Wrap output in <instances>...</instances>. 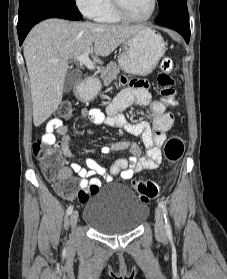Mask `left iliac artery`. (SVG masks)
Here are the masks:
<instances>
[{"label": "left iliac artery", "instance_id": "left-iliac-artery-1", "mask_svg": "<svg viewBox=\"0 0 227 279\" xmlns=\"http://www.w3.org/2000/svg\"><path fill=\"white\" fill-rule=\"evenodd\" d=\"M159 206L164 213L166 234H167L168 237H171L172 236V230H171L170 221H169V218H168V215H167L166 206L163 202H159Z\"/></svg>", "mask_w": 227, "mask_h": 279}]
</instances>
